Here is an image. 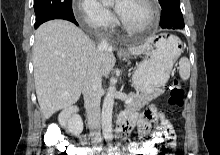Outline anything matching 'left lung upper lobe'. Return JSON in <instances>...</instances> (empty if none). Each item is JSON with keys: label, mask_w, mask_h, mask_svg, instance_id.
<instances>
[{"label": "left lung upper lobe", "mask_w": 220, "mask_h": 155, "mask_svg": "<svg viewBox=\"0 0 220 155\" xmlns=\"http://www.w3.org/2000/svg\"><path fill=\"white\" fill-rule=\"evenodd\" d=\"M161 8L172 6V5H180V0H159Z\"/></svg>", "instance_id": "1"}]
</instances>
